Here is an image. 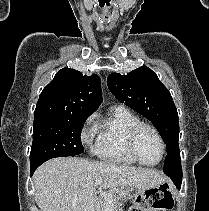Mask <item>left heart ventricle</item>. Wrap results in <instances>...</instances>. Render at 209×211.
Returning a JSON list of instances; mask_svg holds the SVG:
<instances>
[{
	"instance_id": "obj_1",
	"label": "left heart ventricle",
	"mask_w": 209,
	"mask_h": 211,
	"mask_svg": "<svg viewBox=\"0 0 209 211\" xmlns=\"http://www.w3.org/2000/svg\"><path fill=\"white\" fill-rule=\"evenodd\" d=\"M136 150L146 163H155L161 156V146L155 134L149 129L140 131L136 140Z\"/></svg>"
}]
</instances>
